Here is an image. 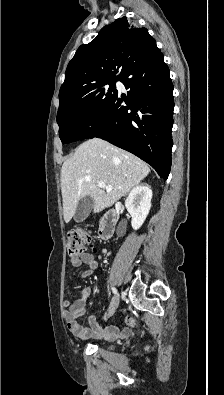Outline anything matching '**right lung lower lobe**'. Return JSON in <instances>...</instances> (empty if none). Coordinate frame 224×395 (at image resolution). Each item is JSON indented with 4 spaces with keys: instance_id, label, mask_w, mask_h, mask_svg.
<instances>
[{
    "instance_id": "98d812e1",
    "label": "right lung lower lobe",
    "mask_w": 224,
    "mask_h": 395,
    "mask_svg": "<svg viewBox=\"0 0 224 395\" xmlns=\"http://www.w3.org/2000/svg\"><path fill=\"white\" fill-rule=\"evenodd\" d=\"M120 81L130 89L128 98L117 93L85 138H102L135 154L166 180L173 145V84L157 46L136 60Z\"/></svg>"
}]
</instances>
